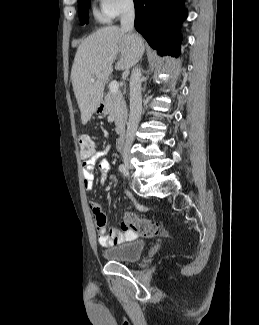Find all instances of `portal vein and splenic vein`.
<instances>
[{
  "instance_id": "1",
  "label": "portal vein and splenic vein",
  "mask_w": 259,
  "mask_h": 325,
  "mask_svg": "<svg viewBox=\"0 0 259 325\" xmlns=\"http://www.w3.org/2000/svg\"><path fill=\"white\" fill-rule=\"evenodd\" d=\"M92 82H94V78L91 79ZM118 88H119V83L117 81H111L110 84H109V89L111 92L115 93L118 91Z\"/></svg>"
}]
</instances>
